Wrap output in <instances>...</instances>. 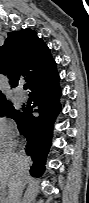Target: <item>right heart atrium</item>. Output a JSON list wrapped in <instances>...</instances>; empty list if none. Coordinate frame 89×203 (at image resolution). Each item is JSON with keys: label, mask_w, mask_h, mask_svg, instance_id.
<instances>
[{"label": "right heart atrium", "mask_w": 89, "mask_h": 203, "mask_svg": "<svg viewBox=\"0 0 89 203\" xmlns=\"http://www.w3.org/2000/svg\"><path fill=\"white\" fill-rule=\"evenodd\" d=\"M14 126L10 119L4 118L0 121V139L2 142H8L14 137Z\"/></svg>", "instance_id": "obj_1"}]
</instances>
